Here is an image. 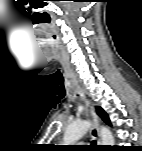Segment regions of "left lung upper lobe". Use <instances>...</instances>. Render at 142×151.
<instances>
[{
    "label": "left lung upper lobe",
    "instance_id": "1",
    "mask_svg": "<svg viewBox=\"0 0 142 151\" xmlns=\"http://www.w3.org/2000/svg\"><path fill=\"white\" fill-rule=\"evenodd\" d=\"M98 115L102 118L104 122L111 125L110 120L106 112L99 106L96 107Z\"/></svg>",
    "mask_w": 142,
    "mask_h": 151
}]
</instances>
